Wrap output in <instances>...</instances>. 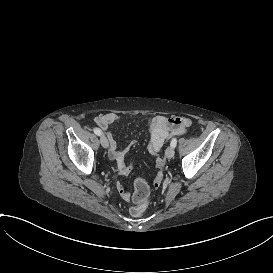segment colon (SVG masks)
Instances as JSON below:
<instances>
[{"label": "colon", "mask_w": 273, "mask_h": 273, "mask_svg": "<svg viewBox=\"0 0 273 273\" xmlns=\"http://www.w3.org/2000/svg\"><path fill=\"white\" fill-rule=\"evenodd\" d=\"M148 123L153 124L154 119L148 118ZM136 187H137V191L135 192V195L133 196V200L135 205H137V207L133 208L132 213L135 217H140L142 214H145L149 209V203L147 200L148 190H147V184L145 183V180L143 178H138L136 180Z\"/></svg>", "instance_id": "obj_1"}]
</instances>
